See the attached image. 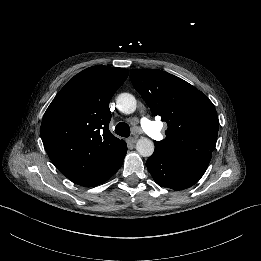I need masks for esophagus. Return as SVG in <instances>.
<instances>
[{"mask_svg":"<svg viewBox=\"0 0 261 261\" xmlns=\"http://www.w3.org/2000/svg\"><path fill=\"white\" fill-rule=\"evenodd\" d=\"M128 141H129L130 143L134 144V143H136L137 139L134 138V137H132V138L128 139Z\"/></svg>","mask_w":261,"mask_h":261,"instance_id":"1","label":"esophagus"}]
</instances>
